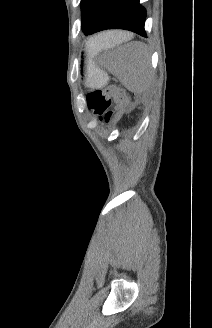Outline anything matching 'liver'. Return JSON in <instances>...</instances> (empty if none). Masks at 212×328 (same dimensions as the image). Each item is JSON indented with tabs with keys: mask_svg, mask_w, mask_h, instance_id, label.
Returning <instances> with one entry per match:
<instances>
[{
	"mask_svg": "<svg viewBox=\"0 0 212 328\" xmlns=\"http://www.w3.org/2000/svg\"><path fill=\"white\" fill-rule=\"evenodd\" d=\"M112 39L116 40L117 42L122 41H128L132 38V35L130 33L120 32V31H114L111 32Z\"/></svg>",
	"mask_w": 212,
	"mask_h": 328,
	"instance_id": "liver-1",
	"label": "liver"
}]
</instances>
